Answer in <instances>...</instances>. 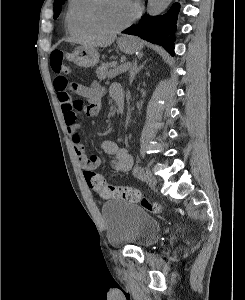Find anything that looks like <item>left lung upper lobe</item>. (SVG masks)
Instances as JSON below:
<instances>
[{
    "mask_svg": "<svg viewBox=\"0 0 245 300\" xmlns=\"http://www.w3.org/2000/svg\"><path fill=\"white\" fill-rule=\"evenodd\" d=\"M64 2H65V0H55L54 1V19H56L59 16Z\"/></svg>",
    "mask_w": 245,
    "mask_h": 300,
    "instance_id": "obj_1",
    "label": "left lung upper lobe"
}]
</instances>
